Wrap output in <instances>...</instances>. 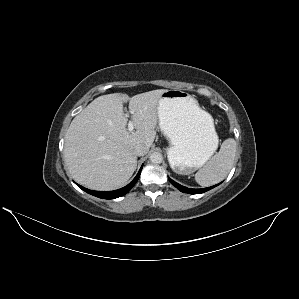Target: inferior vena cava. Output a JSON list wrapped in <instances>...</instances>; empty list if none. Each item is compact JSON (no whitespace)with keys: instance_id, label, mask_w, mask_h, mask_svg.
<instances>
[{"instance_id":"obj_1","label":"inferior vena cava","mask_w":299,"mask_h":299,"mask_svg":"<svg viewBox=\"0 0 299 299\" xmlns=\"http://www.w3.org/2000/svg\"><path fill=\"white\" fill-rule=\"evenodd\" d=\"M148 152V148L144 145H137L134 148V153L136 156H143Z\"/></svg>"}]
</instances>
